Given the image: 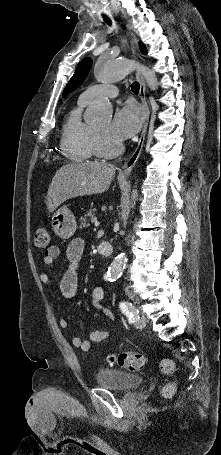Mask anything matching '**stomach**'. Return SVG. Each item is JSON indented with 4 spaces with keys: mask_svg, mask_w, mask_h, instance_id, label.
Segmentation results:
<instances>
[{
    "mask_svg": "<svg viewBox=\"0 0 221 455\" xmlns=\"http://www.w3.org/2000/svg\"><path fill=\"white\" fill-rule=\"evenodd\" d=\"M51 226L54 233L62 239L71 238L77 228L75 216L66 207H61L53 213Z\"/></svg>",
    "mask_w": 221,
    "mask_h": 455,
    "instance_id": "0dacf381",
    "label": "stomach"
}]
</instances>
